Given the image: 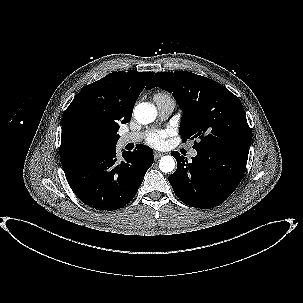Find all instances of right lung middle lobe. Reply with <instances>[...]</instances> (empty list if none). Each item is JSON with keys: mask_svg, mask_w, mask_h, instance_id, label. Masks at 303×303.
Segmentation results:
<instances>
[{"mask_svg": "<svg viewBox=\"0 0 303 303\" xmlns=\"http://www.w3.org/2000/svg\"><path fill=\"white\" fill-rule=\"evenodd\" d=\"M86 138H87V140H89L92 143H96L99 139V137L95 133H92V132L87 133ZM115 143H116V140L114 142V145H115Z\"/></svg>", "mask_w": 303, "mask_h": 303, "instance_id": "1", "label": "right lung middle lobe"}]
</instances>
